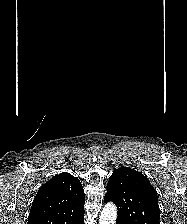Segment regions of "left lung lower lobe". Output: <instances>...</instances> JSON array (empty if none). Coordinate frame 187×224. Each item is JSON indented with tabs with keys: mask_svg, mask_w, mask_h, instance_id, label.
Instances as JSON below:
<instances>
[{
	"mask_svg": "<svg viewBox=\"0 0 187 224\" xmlns=\"http://www.w3.org/2000/svg\"><path fill=\"white\" fill-rule=\"evenodd\" d=\"M116 224H122L121 220L117 219Z\"/></svg>",
	"mask_w": 187,
	"mask_h": 224,
	"instance_id": "left-lung-lower-lobe-1",
	"label": "left lung lower lobe"
}]
</instances>
